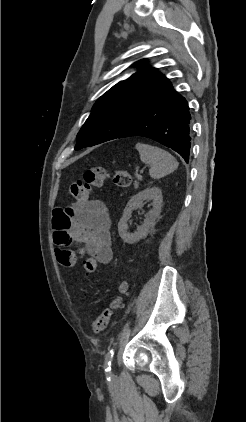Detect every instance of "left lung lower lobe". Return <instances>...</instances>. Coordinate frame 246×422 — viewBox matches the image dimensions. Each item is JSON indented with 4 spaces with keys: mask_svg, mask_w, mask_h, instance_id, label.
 Returning a JSON list of instances; mask_svg holds the SVG:
<instances>
[{
    "mask_svg": "<svg viewBox=\"0 0 246 422\" xmlns=\"http://www.w3.org/2000/svg\"><path fill=\"white\" fill-rule=\"evenodd\" d=\"M191 115L186 99L172 85L157 102L118 138L142 136L179 153L188 163Z\"/></svg>",
    "mask_w": 246,
    "mask_h": 422,
    "instance_id": "0a47b994",
    "label": "left lung lower lobe"
}]
</instances>
